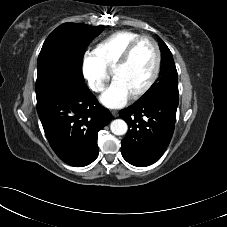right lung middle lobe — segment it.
Returning <instances> with one entry per match:
<instances>
[{
    "mask_svg": "<svg viewBox=\"0 0 227 227\" xmlns=\"http://www.w3.org/2000/svg\"><path fill=\"white\" fill-rule=\"evenodd\" d=\"M104 26L64 23L45 40L37 62L36 93L57 80L84 81L82 61L85 49Z\"/></svg>",
    "mask_w": 227,
    "mask_h": 227,
    "instance_id": "1",
    "label": "right lung middle lobe"
}]
</instances>
